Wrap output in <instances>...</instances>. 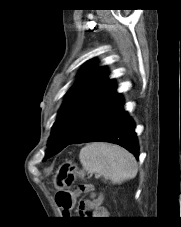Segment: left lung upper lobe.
I'll list each match as a JSON object with an SVG mask.
<instances>
[{
    "label": "left lung upper lobe",
    "mask_w": 181,
    "mask_h": 227,
    "mask_svg": "<svg viewBox=\"0 0 181 227\" xmlns=\"http://www.w3.org/2000/svg\"><path fill=\"white\" fill-rule=\"evenodd\" d=\"M90 64L81 72L68 91L54 123L45 157H50L69 145L83 130L92 114L115 91L104 67Z\"/></svg>",
    "instance_id": "1"
}]
</instances>
